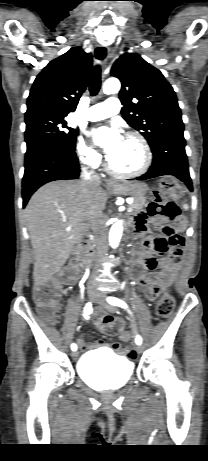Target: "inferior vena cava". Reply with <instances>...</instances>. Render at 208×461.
Here are the masks:
<instances>
[{"mask_svg":"<svg viewBox=\"0 0 208 461\" xmlns=\"http://www.w3.org/2000/svg\"><path fill=\"white\" fill-rule=\"evenodd\" d=\"M83 177L84 179L89 182L93 186H97L100 184V177L97 175H93L91 172L83 169ZM91 227L95 234L96 239V263L94 266L93 275H96L98 269L100 267L99 262L100 258L107 252L108 245H107V232L106 228L104 227V219L102 212H98L91 220Z\"/></svg>","mask_w":208,"mask_h":461,"instance_id":"1","label":"inferior vena cava"}]
</instances>
